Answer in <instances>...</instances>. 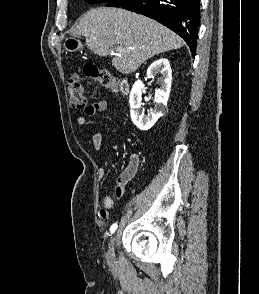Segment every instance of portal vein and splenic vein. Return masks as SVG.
Returning <instances> with one entry per match:
<instances>
[{
    "label": "portal vein and splenic vein",
    "mask_w": 259,
    "mask_h": 294,
    "mask_svg": "<svg viewBox=\"0 0 259 294\" xmlns=\"http://www.w3.org/2000/svg\"><path fill=\"white\" fill-rule=\"evenodd\" d=\"M115 51H116V52H122V51H123V47H121V46H117V47L115 48Z\"/></svg>",
    "instance_id": "obj_1"
}]
</instances>
